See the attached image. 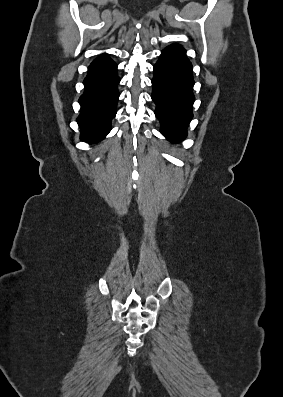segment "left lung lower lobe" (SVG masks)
<instances>
[{"mask_svg": "<svg viewBox=\"0 0 283 397\" xmlns=\"http://www.w3.org/2000/svg\"><path fill=\"white\" fill-rule=\"evenodd\" d=\"M152 100L160 132L170 142L177 143L187 136V126L193 118V70L186 52L175 45L162 50L153 67Z\"/></svg>", "mask_w": 283, "mask_h": 397, "instance_id": "left-lung-lower-lobe-1", "label": "left lung lower lobe"}]
</instances>
